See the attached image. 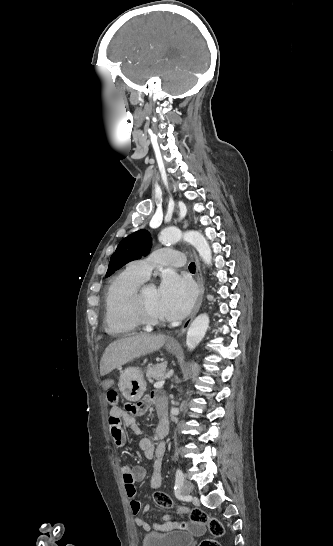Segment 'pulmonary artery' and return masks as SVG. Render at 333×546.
<instances>
[{"label": "pulmonary artery", "mask_w": 333, "mask_h": 546, "mask_svg": "<svg viewBox=\"0 0 333 546\" xmlns=\"http://www.w3.org/2000/svg\"><path fill=\"white\" fill-rule=\"evenodd\" d=\"M183 253L170 249H158L150 256L136 260L132 266L147 279L154 267L157 265H169L182 267L184 265Z\"/></svg>", "instance_id": "e3ab8cb5"}]
</instances>
